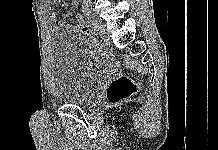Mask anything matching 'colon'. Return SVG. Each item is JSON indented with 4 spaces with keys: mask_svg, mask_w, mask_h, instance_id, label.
Returning <instances> with one entry per match:
<instances>
[{
    "mask_svg": "<svg viewBox=\"0 0 218 150\" xmlns=\"http://www.w3.org/2000/svg\"><path fill=\"white\" fill-rule=\"evenodd\" d=\"M83 31H87V28L83 27ZM137 91L138 83L135 80L128 76H120L110 82L107 87L106 96L109 103L115 105L127 100Z\"/></svg>",
    "mask_w": 218,
    "mask_h": 150,
    "instance_id": "1",
    "label": "colon"
}]
</instances>
